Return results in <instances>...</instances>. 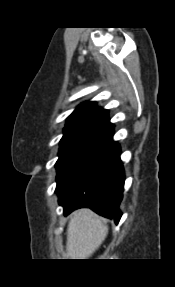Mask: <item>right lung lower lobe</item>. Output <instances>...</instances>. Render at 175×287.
I'll use <instances>...</instances> for the list:
<instances>
[{
	"instance_id": "1",
	"label": "right lung lower lobe",
	"mask_w": 175,
	"mask_h": 287,
	"mask_svg": "<svg viewBox=\"0 0 175 287\" xmlns=\"http://www.w3.org/2000/svg\"><path fill=\"white\" fill-rule=\"evenodd\" d=\"M120 151L112 134L64 177L56 192L65 215L89 207L119 222L125 180Z\"/></svg>"
}]
</instances>
